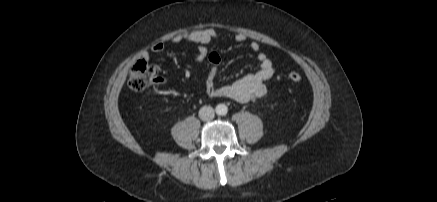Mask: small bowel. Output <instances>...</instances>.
<instances>
[{"label":"small bowel","mask_w":437,"mask_h":202,"mask_svg":"<svg viewBox=\"0 0 437 202\" xmlns=\"http://www.w3.org/2000/svg\"><path fill=\"white\" fill-rule=\"evenodd\" d=\"M222 37L214 29H202L188 33H181L169 39V42L178 46L188 43L198 45L196 60L208 64V75L206 79V91L209 97H226L240 103L254 101L263 97L267 92V82L275 73V67L270 57L261 49L258 42L250 43V49L256 54L259 62L258 69L231 82L221 83L218 78V70L221 63L219 54L216 51H209L206 47L212 41H219ZM236 42L246 41L244 34H236L232 37ZM165 46L162 42L153 44L148 51L141 55L143 60H148L150 53H162Z\"/></svg>","instance_id":"small-bowel-1"}]
</instances>
